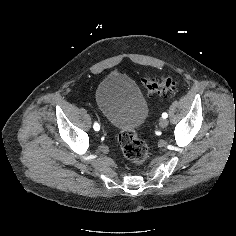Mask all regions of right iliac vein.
Here are the masks:
<instances>
[{
  "instance_id": "right-iliac-vein-1",
  "label": "right iliac vein",
  "mask_w": 236,
  "mask_h": 236,
  "mask_svg": "<svg viewBox=\"0 0 236 236\" xmlns=\"http://www.w3.org/2000/svg\"><path fill=\"white\" fill-rule=\"evenodd\" d=\"M98 114H99V112L96 113L95 117H96V119H97L98 124L101 126L100 129H101V130H104L105 128H104L103 124L100 122L99 117H98Z\"/></svg>"
}]
</instances>
